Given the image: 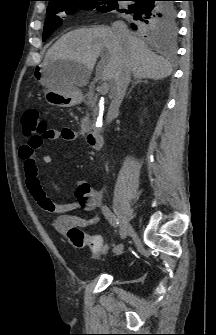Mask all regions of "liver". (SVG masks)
I'll use <instances>...</instances> for the list:
<instances>
[{"label":"liver","instance_id":"1","mask_svg":"<svg viewBox=\"0 0 216 335\" xmlns=\"http://www.w3.org/2000/svg\"><path fill=\"white\" fill-rule=\"evenodd\" d=\"M101 61L96 68V76L111 83V93L115 91V81L125 67L134 78L159 80L172 73L170 63L153 53L145 42L133 35L119 41L112 28L97 26L70 31L57 40L46 52L43 64L56 61H70L80 66L71 68L66 80L75 89L85 86L91 76L98 57Z\"/></svg>","mask_w":216,"mask_h":335}]
</instances>
